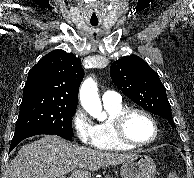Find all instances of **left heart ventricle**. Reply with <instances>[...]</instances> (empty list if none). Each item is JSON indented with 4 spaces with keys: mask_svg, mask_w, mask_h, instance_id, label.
<instances>
[{
    "mask_svg": "<svg viewBox=\"0 0 194 178\" xmlns=\"http://www.w3.org/2000/svg\"><path fill=\"white\" fill-rule=\"evenodd\" d=\"M126 133L131 140L143 143L153 138L154 128L149 119L141 114L134 113L127 119Z\"/></svg>",
    "mask_w": 194,
    "mask_h": 178,
    "instance_id": "obj_1",
    "label": "left heart ventricle"
}]
</instances>
